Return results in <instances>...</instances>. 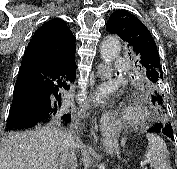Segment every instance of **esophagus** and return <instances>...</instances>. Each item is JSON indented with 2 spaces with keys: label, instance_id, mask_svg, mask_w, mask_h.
I'll list each match as a JSON object with an SVG mask.
<instances>
[{
  "label": "esophagus",
  "instance_id": "1",
  "mask_svg": "<svg viewBox=\"0 0 177 169\" xmlns=\"http://www.w3.org/2000/svg\"><path fill=\"white\" fill-rule=\"evenodd\" d=\"M108 67L104 64L98 66V76L101 81L108 79L109 77ZM105 91L104 84L100 86V92ZM113 121L110 119L108 113H104L100 119V130L103 136L109 135L113 129Z\"/></svg>",
  "mask_w": 177,
  "mask_h": 169
}]
</instances>
